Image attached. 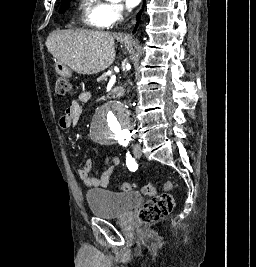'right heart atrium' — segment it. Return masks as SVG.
Segmentation results:
<instances>
[{"instance_id": "obj_1", "label": "right heart atrium", "mask_w": 256, "mask_h": 267, "mask_svg": "<svg viewBox=\"0 0 256 267\" xmlns=\"http://www.w3.org/2000/svg\"><path fill=\"white\" fill-rule=\"evenodd\" d=\"M112 12L110 15V19L113 22L122 20L123 12L120 6H112Z\"/></svg>"}]
</instances>
